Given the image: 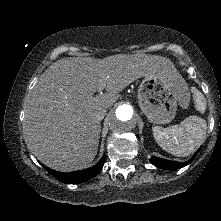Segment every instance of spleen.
<instances>
[{
	"instance_id": "3e777b00",
	"label": "spleen",
	"mask_w": 221,
	"mask_h": 221,
	"mask_svg": "<svg viewBox=\"0 0 221 221\" xmlns=\"http://www.w3.org/2000/svg\"><path fill=\"white\" fill-rule=\"evenodd\" d=\"M196 109L204 113L206 100L202 93L192 88ZM207 129L205 119L190 116L179 125L169 128L153 127V135L158 145L172 155L185 157L193 153L200 146Z\"/></svg>"
}]
</instances>
